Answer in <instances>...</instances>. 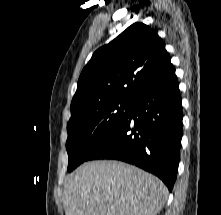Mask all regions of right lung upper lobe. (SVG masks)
Segmentation results:
<instances>
[{
  "mask_svg": "<svg viewBox=\"0 0 221 215\" xmlns=\"http://www.w3.org/2000/svg\"><path fill=\"white\" fill-rule=\"evenodd\" d=\"M175 74L156 31L134 23L95 51L82 70L71 107L110 99L134 100Z\"/></svg>",
  "mask_w": 221,
  "mask_h": 215,
  "instance_id": "obj_1",
  "label": "right lung upper lobe"
}]
</instances>
